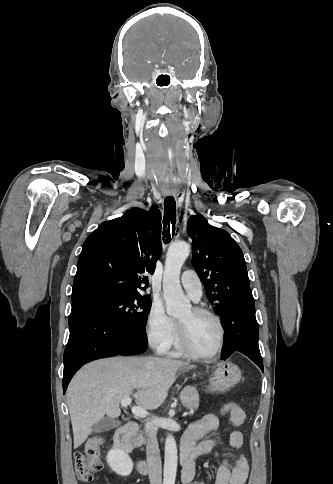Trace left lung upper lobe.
Returning a JSON list of instances; mask_svg holds the SVG:
<instances>
[{"label":"left lung upper lobe","mask_w":333,"mask_h":484,"mask_svg":"<svg viewBox=\"0 0 333 484\" xmlns=\"http://www.w3.org/2000/svg\"><path fill=\"white\" fill-rule=\"evenodd\" d=\"M187 232L193 240V266L221 315L229 300L250 289L243 252L227 231L211 226L200 214L189 218Z\"/></svg>","instance_id":"5c2ea615"}]
</instances>
